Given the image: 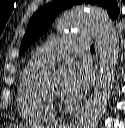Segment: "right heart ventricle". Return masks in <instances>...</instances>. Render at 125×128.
Wrapping results in <instances>:
<instances>
[{
    "mask_svg": "<svg viewBox=\"0 0 125 128\" xmlns=\"http://www.w3.org/2000/svg\"><path fill=\"white\" fill-rule=\"evenodd\" d=\"M42 69L32 61L24 67L17 97L21 117L36 123L50 121L53 117L52 106L44 99L42 90L36 84Z\"/></svg>",
    "mask_w": 125,
    "mask_h": 128,
    "instance_id": "obj_1",
    "label": "right heart ventricle"
}]
</instances>
